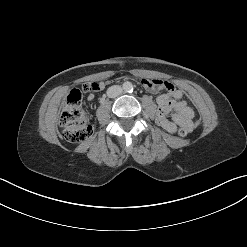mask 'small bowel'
Here are the masks:
<instances>
[{"label":"small bowel","instance_id":"1","mask_svg":"<svg viewBox=\"0 0 247 247\" xmlns=\"http://www.w3.org/2000/svg\"><path fill=\"white\" fill-rule=\"evenodd\" d=\"M142 86L150 92L164 91L157 98L158 111L157 123L169 133H175L178 127L186 128L189 131L193 128V109L182 99L183 92L175 87L174 84L160 79H142ZM107 82L100 81L96 83L97 89L102 90ZM88 100L94 98L93 94L88 95ZM173 111L172 118H168V114Z\"/></svg>","mask_w":247,"mask_h":247}]
</instances>
